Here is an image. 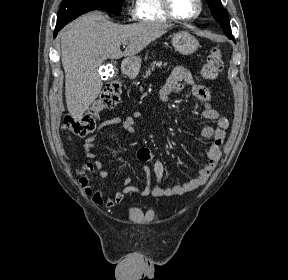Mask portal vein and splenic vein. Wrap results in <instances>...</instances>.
<instances>
[{
  "label": "portal vein and splenic vein",
  "mask_w": 288,
  "mask_h": 280,
  "mask_svg": "<svg viewBox=\"0 0 288 280\" xmlns=\"http://www.w3.org/2000/svg\"><path fill=\"white\" fill-rule=\"evenodd\" d=\"M127 43H128V42L125 41V42H123V45H127Z\"/></svg>",
  "instance_id": "obj_1"
}]
</instances>
